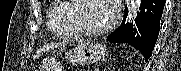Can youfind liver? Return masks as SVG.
I'll return each mask as SVG.
<instances>
[{"label":"liver","instance_id":"1","mask_svg":"<svg viewBox=\"0 0 181 71\" xmlns=\"http://www.w3.org/2000/svg\"><path fill=\"white\" fill-rule=\"evenodd\" d=\"M56 46H58V44L53 43V42L43 46L40 50L37 51L34 59L40 57L45 51H47V50H49L51 48H54Z\"/></svg>","mask_w":181,"mask_h":71}]
</instances>
